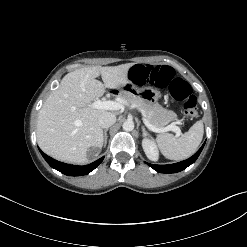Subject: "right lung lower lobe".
<instances>
[{
    "label": "right lung lower lobe",
    "mask_w": 247,
    "mask_h": 247,
    "mask_svg": "<svg viewBox=\"0 0 247 247\" xmlns=\"http://www.w3.org/2000/svg\"><path fill=\"white\" fill-rule=\"evenodd\" d=\"M40 150V149H39ZM42 156L47 161V163L54 169L60 171L61 173L68 175V176H82L90 173L93 171L104 159V157H101L97 161L86 165V166H76V165H70L63 162H59L49 156H47L45 153H43L40 150Z\"/></svg>",
    "instance_id": "obj_1"
}]
</instances>
